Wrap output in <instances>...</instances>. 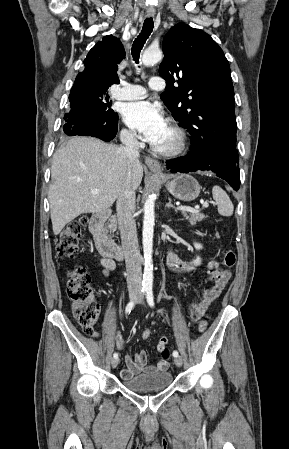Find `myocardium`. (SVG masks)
<instances>
[{
  "label": "myocardium",
  "instance_id": "1",
  "mask_svg": "<svg viewBox=\"0 0 289 449\" xmlns=\"http://www.w3.org/2000/svg\"><path fill=\"white\" fill-rule=\"evenodd\" d=\"M174 135V142L168 148L152 146V151L163 157H175L182 154L187 148V134L185 130L177 123L170 122L167 126Z\"/></svg>",
  "mask_w": 289,
  "mask_h": 449
}]
</instances>
